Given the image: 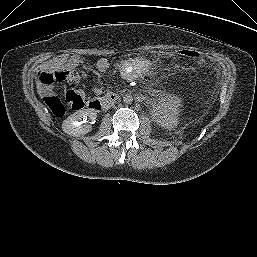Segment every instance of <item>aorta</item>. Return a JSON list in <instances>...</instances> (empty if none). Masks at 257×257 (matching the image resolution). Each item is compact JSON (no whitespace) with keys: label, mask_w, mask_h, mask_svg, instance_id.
<instances>
[{"label":"aorta","mask_w":257,"mask_h":257,"mask_svg":"<svg viewBox=\"0 0 257 257\" xmlns=\"http://www.w3.org/2000/svg\"><path fill=\"white\" fill-rule=\"evenodd\" d=\"M123 102L125 104H131L133 102V97L131 94H126L123 96Z\"/></svg>","instance_id":"obj_1"}]
</instances>
